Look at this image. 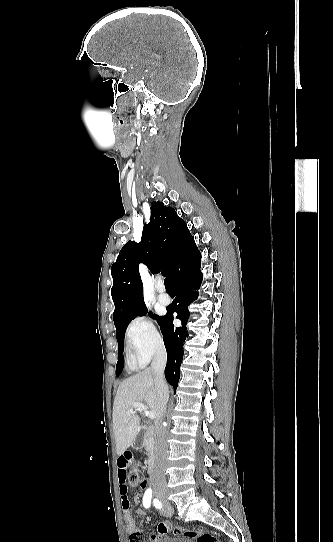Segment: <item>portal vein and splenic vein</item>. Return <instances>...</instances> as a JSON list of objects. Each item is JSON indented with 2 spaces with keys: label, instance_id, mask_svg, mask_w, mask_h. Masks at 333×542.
Returning <instances> with one entry per match:
<instances>
[{
  "label": "portal vein and splenic vein",
  "instance_id": "portal-vein-and-splenic-vein-1",
  "mask_svg": "<svg viewBox=\"0 0 333 542\" xmlns=\"http://www.w3.org/2000/svg\"><path fill=\"white\" fill-rule=\"evenodd\" d=\"M133 408H137L139 412H145V416H147V418H150V420H154V418H156V412H152V410H149L147 406H144V404H140V402H135V404H133ZM127 414H130V412H127Z\"/></svg>",
  "mask_w": 333,
  "mask_h": 542
}]
</instances>
